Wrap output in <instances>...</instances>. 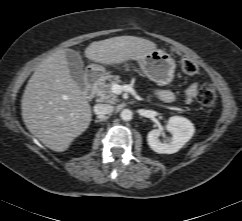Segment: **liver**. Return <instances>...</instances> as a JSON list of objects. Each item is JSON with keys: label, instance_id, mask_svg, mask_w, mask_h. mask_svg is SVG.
Wrapping results in <instances>:
<instances>
[{"label": "liver", "instance_id": "obj_1", "mask_svg": "<svg viewBox=\"0 0 242 221\" xmlns=\"http://www.w3.org/2000/svg\"><path fill=\"white\" fill-rule=\"evenodd\" d=\"M156 49L150 40L118 36L91 43L85 56L105 65L139 61ZM66 50L59 49L38 65L22 97V118L46 147L56 152L68 149L91 122V106L70 75Z\"/></svg>", "mask_w": 242, "mask_h": 221}]
</instances>
